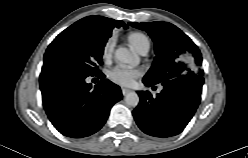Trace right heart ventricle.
<instances>
[{
  "mask_svg": "<svg viewBox=\"0 0 248 158\" xmlns=\"http://www.w3.org/2000/svg\"><path fill=\"white\" fill-rule=\"evenodd\" d=\"M128 40L133 48L138 52H140L145 46H150L149 39L141 32H131L128 35Z\"/></svg>",
  "mask_w": 248,
  "mask_h": 158,
  "instance_id": "obj_1",
  "label": "right heart ventricle"
}]
</instances>
